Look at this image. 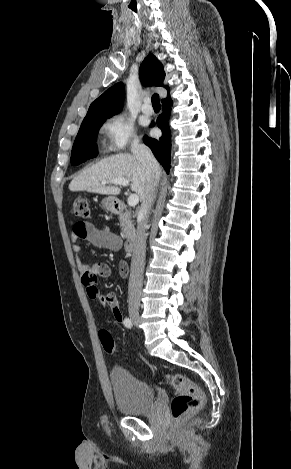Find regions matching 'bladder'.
<instances>
[{"instance_id":"31cf9c89","label":"bladder","mask_w":291,"mask_h":469,"mask_svg":"<svg viewBox=\"0 0 291 469\" xmlns=\"http://www.w3.org/2000/svg\"><path fill=\"white\" fill-rule=\"evenodd\" d=\"M109 377L115 405L120 413L136 416L152 408L155 394L148 383L120 366L113 367Z\"/></svg>"}]
</instances>
